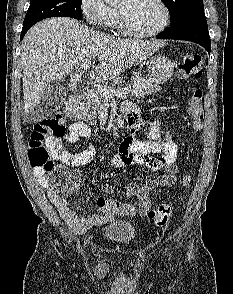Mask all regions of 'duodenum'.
Segmentation results:
<instances>
[{"mask_svg":"<svg viewBox=\"0 0 233 294\" xmlns=\"http://www.w3.org/2000/svg\"><path fill=\"white\" fill-rule=\"evenodd\" d=\"M80 96L78 94L72 95L65 107V114L69 119H75L78 116V107ZM128 121V130L133 134L135 132L136 110L132 106H128L125 110Z\"/></svg>","mask_w":233,"mask_h":294,"instance_id":"duodenum-1","label":"duodenum"}]
</instances>
